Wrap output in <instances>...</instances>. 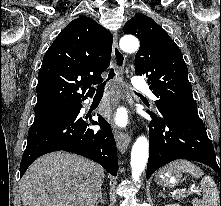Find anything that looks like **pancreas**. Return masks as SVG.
<instances>
[{
  "instance_id": "pancreas-1",
  "label": "pancreas",
  "mask_w": 221,
  "mask_h": 206,
  "mask_svg": "<svg viewBox=\"0 0 221 206\" xmlns=\"http://www.w3.org/2000/svg\"><path fill=\"white\" fill-rule=\"evenodd\" d=\"M187 196H188L187 193H180V194L178 195V198H184V197H187Z\"/></svg>"
}]
</instances>
